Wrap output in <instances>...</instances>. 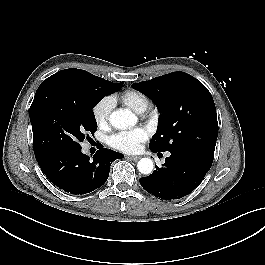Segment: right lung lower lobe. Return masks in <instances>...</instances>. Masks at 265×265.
<instances>
[{"mask_svg":"<svg viewBox=\"0 0 265 265\" xmlns=\"http://www.w3.org/2000/svg\"><path fill=\"white\" fill-rule=\"evenodd\" d=\"M123 157L101 147L90 160L79 147L48 152L36 159L54 185L70 194H86L101 187L108 179L111 163Z\"/></svg>","mask_w":265,"mask_h":265,"instance_id":"obj_1","label":"right lung lower lobe"}]
</instances>
